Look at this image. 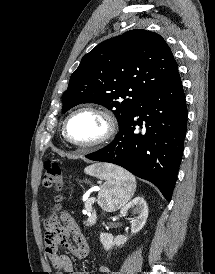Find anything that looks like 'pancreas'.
<instances>
[{"label":"pancreas","mask_w":215,"mask_h":274,"mask_svg":"<svg viewBox=\"0 0 215 274\" xmlns=\"http://www.w3.org/2000/svg\"><path fill=\"white\" fill-rule=\"evenodd\" d=\"M95 202V199H93V198H91V199H89L86 203H85V208L87 209V210H91V211H93L92 210V204ZM94 222V218L93 217H91V218H89L88 220H87V224H92Z\"/></svg>","instance_id":"1"}]
</instances>
